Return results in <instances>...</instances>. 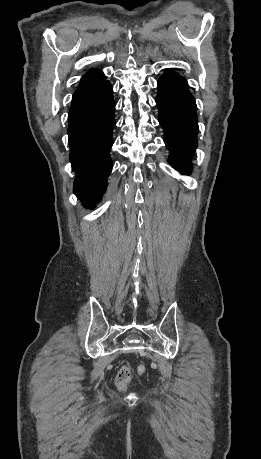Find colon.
Returning a JSON list of instances; mask_svg holds the SVG:
<instances>
[{
  "label": "colon",
  "instance_id": "colon-1",
  "mask_svg": "<svg viewBox=\"0 0 261 459\" xmlns=\"http://www.w3.org/2000/svg\"><path fill=\"white\" fill-rule=\"evenodd\" d=\"M130 377H131V368L129 366H124L123 368H121V370L119 371L116 377V387L120 391L125 390L130 380Z\"/></svg>",
  "mask_w": 261,
  "mask_h": 459
}]
</instances>
